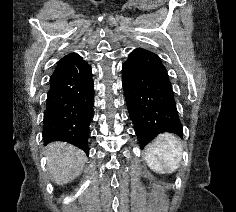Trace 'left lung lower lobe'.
Returning <instances> with one entry per match:
<instances>
[{"mask_svg": "<svg viewBox=\"0 0 236 212\" xmlns=\"http://www.w3.org/2000/svg\"><path fill=\"white\" fill-rule=\"evenodd\" d=\"M122 75L129 115L141 146L163 132L182 137L172 84L159 56L144 48L134 49Z\"/></svg>", "mask_w": 236, "mask_h": 212, "instance_id": "left-lung-lower-lobe-1", "label": "left lung lower lobe"}]
</instances>
